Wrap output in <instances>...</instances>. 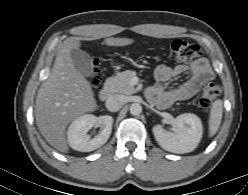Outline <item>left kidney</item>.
Listing matches in <instances>:
<instances>
[{"mask_svg": "<svg viewBox=\"0 0 248 195\" xmlns=\"http://www.w3.org/2000/svg\"><path fill=\"white\" fill-rule=\"evenodd\" d=\"M203 127L198 116L185 113L173 122V132L165 131L161 125L153 127L157 143L166 151L183 154L193 151L202 138Z\"/></svg>", "mask_w": 248, "mask_h": 195, "instance_id": "obj_1", "label": "left kidney"}]
</instances>
